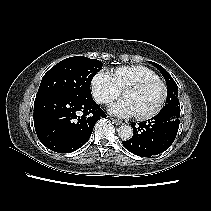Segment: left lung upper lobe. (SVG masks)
I'll list each match as a JSON object with an SVG mask.
<instances>
[{"instance_id": "obj_1", "label": "left lung upper lobe", "mask_w": 211, "mask_h": 211, "mask_svg": "<svg viewBox=\"0 0 211 211\" xmlns=\"http://www.w3.org/2000/svg\"><path fill=\"white\" fill-rule=\"evenodd\" d=\"M150 63L155 66L163 75L166 85H167V100L165 106L161 109L160 112H170L177 115H180V103L178 99V87L170 74L157 63Z\"/></svg>"}]
</instances>
